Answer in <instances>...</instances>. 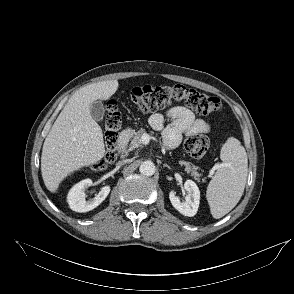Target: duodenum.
Masks as SVG:
<instances>
[{"label": "duodenum", "mask_w": 294, "mask_h": 294, "mask_svg": "<svg viewBox=\"0 0 294 294\" xmlns=\"http://www.w3.org/2000/svg\"><path fill=\"white\" fill-rule=\"evenodd\" d=\"M131 135V130L129 128H125L119 134L116 144L117 153L120 156H126L128 153L127 145Z\"/></svg>", "instance_id": "410a0bca"}]
</instances>
